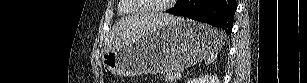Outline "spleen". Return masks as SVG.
Segmentation results:
<instances>
[{
    "label": "spleen",
    "instance_id": "obj_1",
    "mask_svg": "<svg viewBox=\"0 0 307 83\" xmlns=\"http://www.w3.org/2000/svg\"><path fill=\"white\" fill-rule=\"evenodd\" d=\"M215 29V28H214ZM216 30V29H215ZM218 31V30H217ZM215 39L218 41L219 43V47L221 46L222 42L226 39V35L221 32V31H218V33L216 34L215 36ZM215 49L213 52H211L207 57H206V64H211L213 63L216 59H217V56H218V49Z\"/></svg>",
    "mask_w": 307,
    "mask_h": 83
}]
</instances>
